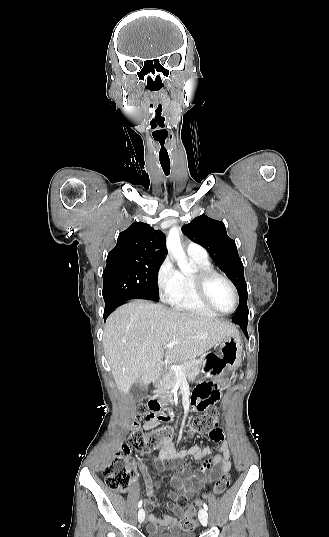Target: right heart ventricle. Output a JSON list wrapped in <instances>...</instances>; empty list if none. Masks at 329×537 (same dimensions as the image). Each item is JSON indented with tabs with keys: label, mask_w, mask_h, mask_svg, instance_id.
Instances as JSON below:
<instances>
[{
	"label": "right heart ventricle",
	"mask_w": 329,
	"mask_h": 537,
	"mask_svg": "<svg viewBox=\"0 0 329 537\" xmlns=\"http://www.w3.org/2000/svg\"><path fill=\"white\" fill-rule=\"evenodd\" d=\"M196 267L212 268L208 258L190 256ZM169 303L178 311L212 316L214 312L207 308L198 298L193 288L191 275L180 273L179 291L169 300Z\"/></svg>",
	"instance_id": "right-heart-ventricle-1"
}]
</instances>
